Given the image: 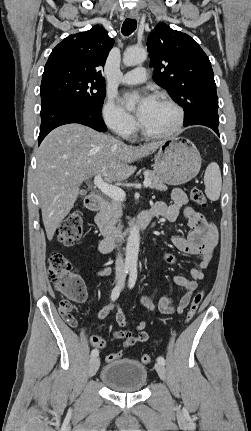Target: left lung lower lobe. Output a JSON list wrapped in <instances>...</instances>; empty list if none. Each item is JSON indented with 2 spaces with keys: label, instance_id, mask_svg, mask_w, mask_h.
I'll use <instances>...</instances> for the list:
<instances>
[{
  "label": "left lung lower lobe",
  "instance_id": "0a47b994",
  "mask_svg": "<svg viewBox=\"0 0 251 431\" xmlns=\"http://www.w3.org/2000/svg\"><path fill=\"white\" fill-rule=\"evenodd\" d=\"M190 125H203V126H207L211 129L214 130V132H216L217 135H219V131H218V125H219V118H209V117H202L196 120H193L189 123H184V126H190Z\"/></svg>",
  "mask_w": 251,
  "mask_h": 431
}]
</instances>
